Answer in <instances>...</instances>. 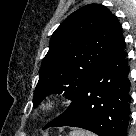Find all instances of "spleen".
Instances as JSON below:
<instances>
[{"mask_svg":"<svg viewBox=\"0 0 136 136\" xmlns=\"http://www.w3.org/2000/svg\"><path fill=\"white\" fill-rule=\"evenodd\" d=\"M71 136H95L85 131H74Z\"/></svg>","mask_w":136,"mask_h":136,"instance_id":"1","label":"spleen"}]
</instances>
